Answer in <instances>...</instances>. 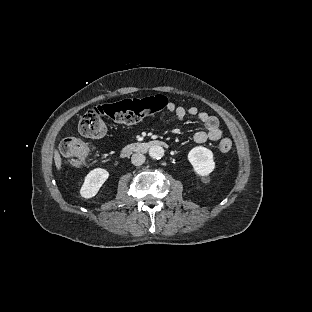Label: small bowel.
<instances>
[{
	"label": "small bowel",
	"instance_id": "obj_1",
	"mask_svg": "<svg viewBox=\"0 0 312 312\" xmlns=\"http://www.w3.org/2000/svg\"><path fill=\"white\" fill-rule=\"evenodd\" d=\"M166 109L178 121H183L186 117L193 116L205 126L206 131H199L193 136L195 143L201 144L206 141H217L221 138L222 129L217 117L205 111H200L196 106L184 107L174 102H169Z\"/></svg>",
	"mask_w": 312,
	"mask_h": 312
}]
</instances>
